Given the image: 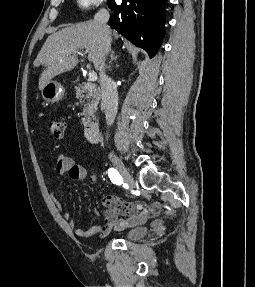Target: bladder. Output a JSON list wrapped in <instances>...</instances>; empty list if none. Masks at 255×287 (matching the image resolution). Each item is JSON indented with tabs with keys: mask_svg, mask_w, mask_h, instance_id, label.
I'll list each match as a JSON object with an SVG mask.
<instances>
[{
	"mask_svg": "<svg viewBox=\"0 0 255 287\" xmlns=\"http://www.w3.org/2000/svg\"><path fill=\"white\" fill-rule=\"evenodd\" d=\"M146 232V228L141 226H134L124 230V232L122 233V237L126 240H137L144 237L146 235Z\"/></svg>",
	"mask_w": 255,
	"mask_h": 287,
	"instance_id": "1",
	"label": "bladder"
}]
</instances>
